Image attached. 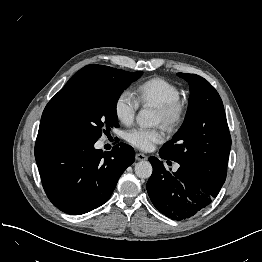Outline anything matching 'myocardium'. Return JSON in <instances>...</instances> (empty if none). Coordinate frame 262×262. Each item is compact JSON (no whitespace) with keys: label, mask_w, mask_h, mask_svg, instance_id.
<instances>
[{"label":"myocardium","mask_w":262,"mask_h":262,"mask_svg":"<svg viewBox=\"0 0 262 262\" xmlns=\"http://www.w3.org/2000/svg\"><path fill=\"white\" fill-rule=\"evenodd\" d=\"M156 111L161 117L163 127L169 132H174L185 123L188 107L184 101L177 99L157 106Z\"/></svg>","instance_id":"myocardium-1"}]
</instances>
